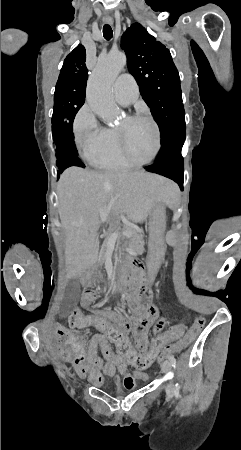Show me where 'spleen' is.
I'll return each mask as SVG.
<instances>
[{
  "label": "spleen",
  "instance_id": "3e777b00",
  "mask_svg": "<svg viewBox=\"0 0 241 450\" xmlns=\"http://www.w3.org/2000/svg\"><path fill=\"white\" fill-rule=\"evenodd\" d=\"M175 230L173 229V228H170L169 230H168V234H167V239H166V242H167V244H169V245H172V244H174V242L176 241L175 239H174V237H175ZM175 246V245H174Z\"/></svg>",
  "mask_w": 241,
  "mask_h": 450
}]
</instances>
